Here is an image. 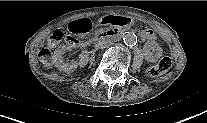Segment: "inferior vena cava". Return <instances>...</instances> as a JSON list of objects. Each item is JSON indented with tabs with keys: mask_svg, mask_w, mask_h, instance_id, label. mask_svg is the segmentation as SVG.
<instances>
[{
	"mask_svg": "<svg viewBox=\"0 0 207 123\" xmlns=\"http://www.w3.org/2000/svg\"><path fill=\"white\" fill-rule=\"evenodd\" d=\"M107 46H109V43L107 41H100L98 44H97V48H101V49H104L106 48Z\"/></svg>",
	"mask_w": 207,
	"mask_h": 123,
	"instance_id": "602c4592",
	"label": "inferior vena cava"
}]
</instances>
